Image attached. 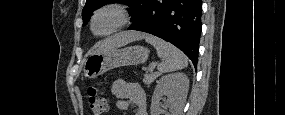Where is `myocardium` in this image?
<instances>
[{"label": "myocardium", "mask_w": 285, "mask_h": 115, "mask_svg": "<svg viewBox=\"0 0 285 115\" xmlns=\"http://www.w3.org/2000/svg\"><path fill=\"white\" fill-rule=\"evenodd\" d=\"M104 12H110L111 14H113L116 18V22L114 26L109 30L98 32L95 30V22L97 18ZM130 19H131L130 11L125 5L119 3H108L97 8L92 13L90 18V29L92 33L97 36H109L126 27L130 22Z\"/></svg>", "instance_id": "obj_1"}]
</instances>
